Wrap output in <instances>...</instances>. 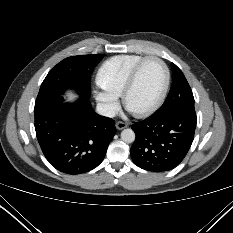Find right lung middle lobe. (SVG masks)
<instances>
[{
  "mask_svg": "<svg viewBox=\"0 0 233 233\" xmlns=\"http://www.w3.org/2000/svg\"><path fill=\"white\" fill-rule=\"evenodd\" d=\"M102 58L103 55H81L62 60L42 82L35 104L51 96H59L68 88L89 98L91 74Z\"/></svg>",
  "mask_w": 233,
  "mask_h": 233,
  "instance_id": "obj_1",
  "label": "right lung middle lobe"
}]
</instances>
